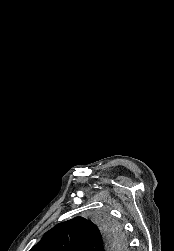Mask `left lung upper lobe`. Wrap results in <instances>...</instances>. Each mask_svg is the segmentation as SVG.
<instances>
[{
  "mask_svg": "<svg viewBox=\"0 0 174 251\" xmlns=\"http://www.w3.org/2000/svg\"><path fill=\"white\" fill-rule=\"evenodd\" d=\"M126 238L118 225L106 218L91 222L75 217L54 226L30 251H122Z\"/></svg>",
  "mask_w": 174,
  "mask_h": 251,
  "instance_id": "left-lung-upper-lobe-1",
  "label": "left lung upper lobe"
}]
</instances>
